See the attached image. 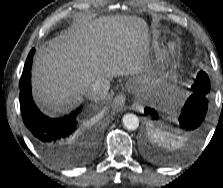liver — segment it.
I'll list each match as a JSON object with an SVG mask.
<instances>
[{"instance_id": "liver-1", "label": "liver", "mask_w": 223, "mask_h": 188, "mask_svg": "<svg viewBox=\"0 0 223 188\" xmlns=\"http://www.w3.org/2000/svg\"><path fill=\"white\" fill-rule=\"evenodd\" d=\"M145 27L135 16H104L49 40L35 55L36 102L50 114L62 113L81 101L96 79L138 75L143 65L136 34Z\"/></svg>"}]
</instances>
